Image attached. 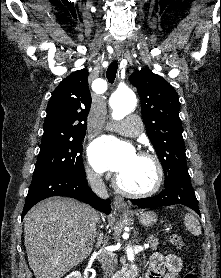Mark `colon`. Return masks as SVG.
Instances as JSON below:
<instances>
[{
	"instance_id": "5ec220e1",
	"label": "colon",
	"mask_w": 221,
	"mask_h": 278,
	"mask_svg": "<svg viewBox=\"0 0 221 278\" xmlns=\"http://www.w3.org/2000/svg\"><path fill=\"white\" fill-rule=\"evenodd\" d=\"M171 244L179 250H183L185 248V243L182 238L177 235L173 234L170 237ZM184 278H198L195 272V268L193 265H189L187 268L186 273L184 274Z\"/></svg>"
}]
</instances>
